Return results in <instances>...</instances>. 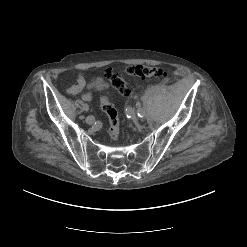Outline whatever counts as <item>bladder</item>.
<instances>
[{"label":"bladder","mask_w":247,"mask_h":247,"mask_svg":"<svg viewBox=\"0 0 247 247\" xmlns=\"http://www.w3.org/2000/svg\"><path fill=\"white\" fill-rule=\"evenodd\" d=\"M93 89L96 92H101L104 89V85L101 81L97 80L93 83Z\"/></svg>","instance_id":"1"}]
</instances>
